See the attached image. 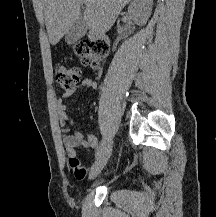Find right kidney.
Returning <instances> with one entry per match:
<instances>
[{
    "instance_id": "ca27d5eb",
    "label": "right kidney",
    "mask_w": 216,
    "mask_h": 217,
    "mask_svg": "<svg viewBox=\"0 0 216 217\" xmlns=\"http://www.w3.org/2000/svg\"><path fill=\"white\" fill-rule=\"evenodd\" d=\"M153 0H133L128 7V16L137 25L143 26L147 23L152 10Z\"/></svg>"
}]
</instances>
